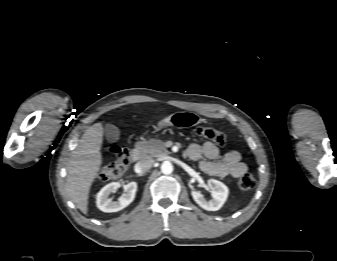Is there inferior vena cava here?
Listing matches in <instances>:
<instances>
[{"mask_svg":"<svg viewBox=\"0 0 337 261\" xmlns=\"http://www.w3.org/2000/svg\"><path fill=\"white\" fill-rule=\"evenodd\" d=\"M153 163L154 160L152 159L141 160L135 164V172L139 174L145 173L152 167Z\"/></svg>","mask_w":337,"mask_h":261,"instance_id":"inferior-vena-cava-1","label":"inferior vena cava"}]
</instances>
